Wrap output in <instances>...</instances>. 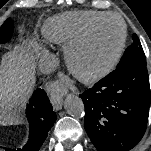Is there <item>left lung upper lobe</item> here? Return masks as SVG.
Returning a JSON list of instances; mask_svg holds the SVG:
<instances>
[{
	"instance_id": "obj_1",
	"label": "left lung upper lobe",
	"mask_w": 151,
	"mask_h": 151,
	"mask_svg": "<svg viewBox=\"0 0 151 151\" xmlns=\"http://www.w3.org/2000/svg\"><path fill=\"white\" fill-rule=\"evenodd\" d=\"M132 38L133 43L124 52V55L122 56L116 69L132 62L146 63V57L138 36L134 34Z\"/></svg>"
}]
</instances>
